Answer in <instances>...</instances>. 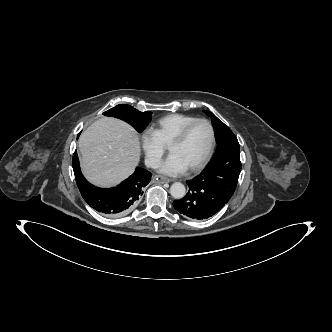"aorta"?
Returning a JSON list of instances; mask_svg holds the SVG:
<instances>
[{
    "instance_id": "1",
    "label": "aorta",
    "mask_w": 332,
    "mask_h": 332,
    "mask_svg": "<svg viewBox=\"0 0 332 332\" xmlns=\"http://www.w3.org/2000/svg\"><path fill=\"white\" fill-rule=\"evenodd\" d=\"M170 194L175 199H182L186 194V188L182 183L175 182L170 187Z\"/></svg>"
}]
</instances>
